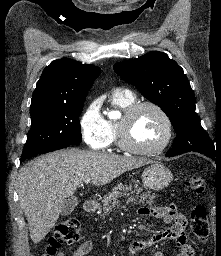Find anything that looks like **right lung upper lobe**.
Instances as JSON below:
<instances>
[{
	"mask_svg": "<svg viewBox=\"0 0 221 256\" xmlns=\"http://www.w3.org/2000/svg\"><path fill=\"white\" fill-rule=\"evenodd\" d=\"M100 68L61 58L47 66L33 93L30 111L85 101Z\"/></svg>",
	"mask_w": 221,
	"mask_h": 256,
	"instance_id": "right-lung-upper-lobe-1",
	"label": "right lung upper lobe"
}]
</instances>
